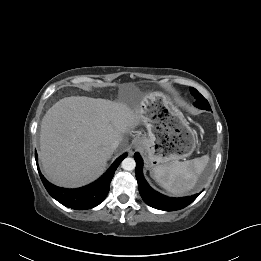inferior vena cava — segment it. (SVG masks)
<instances>
[{
	"instance_id": "inferior-vena-cava-1",
	"label": "inferior vena cava",
	"mask_w": 261,
	"mask_h": 261,
	"mask_svg": "<svg viewBox=\"0 0 261 261\" xmlns=\"http://www.w3.org/2000/svg\"><path fill=\"white\" fill-rule=\"evenodd\" d=\"M119 143H120L119 140H115L114 142H112L111 147H112L113 149H116V148L118 147Z\"/></svg>"
}]
</instances>
